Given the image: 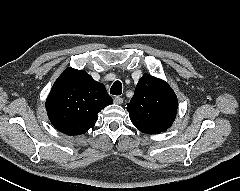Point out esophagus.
<instances>
[{
  "label": "esophagus",
  "instance_id": "obj_1",
  "mask_svg": "<svg viewBox=\"0 0 240 191\" xmlns=\"http://www.w3.org/2000/svg\"><path fill=\"white\" fill-rule=\"evenodd\" d=\"M114 103L115 104H122L123 103V98H121V97H115L114 98Z\"/></svg>",
  "mask_w": 240,
  "mask_h": 191
}]
</instances>
